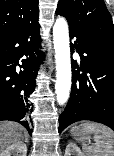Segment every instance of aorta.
Masks as SVG:
<instances>
[{
  "mask_svg": "<svg viewBox=\"0 0 114 156\" xmlns=\"http://www.w3.org/2000/svg\"><path fill=\"white\" fill-rule=\"evenodd\" d=\"M53 43L56 62L55 92L57 102L63 105L67 102L71 89V60L68 24L62 17L57 18L53 26Z\"/></svg>",
  "mask_w": 114,
  "mask_h": 156,
  "instance_id": "obj_1",
  "label": "aorta"
}]
</instances>
